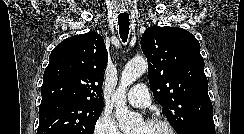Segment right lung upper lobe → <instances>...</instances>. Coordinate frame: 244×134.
Returning <instances> with one entry per match:
<instances>
[{
  "instance_id": "1",
  "label": "right lung upper lobe",
  "mask_w": 244,
  "mask_h": 134,
  "mask_svg": "<svg viewBox=\"0 0 244 134\" xmlns=\"http://www.w3.org/2000/svg\"><path fill=\"white\" fill-rule=\"evenodd\" d=\"M108 53L96 32L76 35L58 44L43 75L42 101L56 98L103 104L101 91Z\"/></svg>"
}]
</instances>
